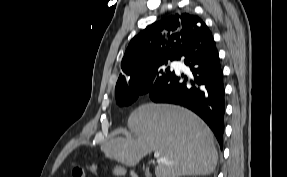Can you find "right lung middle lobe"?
I'll return each mask as SVG.
<instances>
[{
  "label": "right lung middle lobe",
  "instance_id": "obj_1",
  "mask_svg": "<svg viewBox=\"0 0 287 177\" xmlns=\"http://www.w3.org/2000/svg\"><path fill=\"white\" fill-rule=\"evenodd\" d=\"M169 61L173 60L157 63L144 75L141 82L135 85L116 87V103L119 106L130 105L136 101L140 95L147 94L154 85L166 79L172 73L170 67H165Z\"/></svg>",
  "mask_w": 287,
  "mask_h": 177
}]
</instances>
